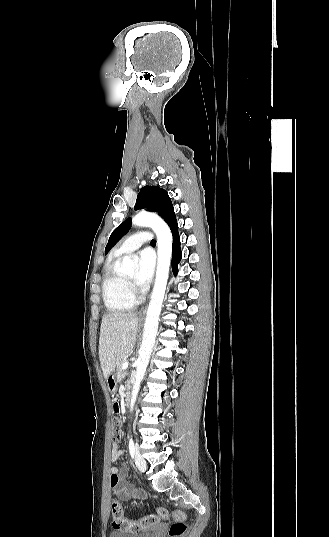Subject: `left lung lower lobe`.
Wrapping results in <instances>:
<instances>
[{"label": "left lung lower lobe", "instance_id": "obj_1", "mask_svg": "<svg viewBox=\"0 0 329 537\" xmlns=\"http://www.w3.org/2000/svg\"><path fill=\"white\" fill-rule=\"evenodd\" d=\"M173 235V245H172V270L174 275H177L178 272V263L182 258V252L180 248V237L178 233V225H175L170 228Z\"/></svg>", "mask_w": 329, "mask_h": 537}]
</instances>
